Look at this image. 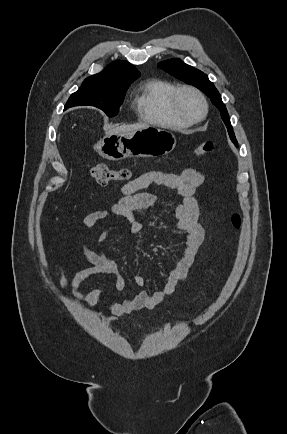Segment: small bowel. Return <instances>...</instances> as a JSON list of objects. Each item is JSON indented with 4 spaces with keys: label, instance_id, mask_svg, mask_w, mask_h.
I'll list each match as a JSON object with an SVG mask.
<instances>
[{
    "label": "small bowel",
    "instance_id": "small-bowel-1",
    "mask_svg": "<svg viewBox=\"0 0 287 434\" xmlns=\"http://www.w3.org/2000/svg\"><path fill=\"white\" fill-rule=\"evenodd\" d=\"M203 182V174L193 168H186L180 174L149 171L124 184L121 188L123 197L113 206L89 212L83 217L82 224L87 228H91L109 215L122 216L128 220L125 232L129 235H136L142 231L144 224L134 217V211L152 210L161 215L172 217L175 220L174 228L182 234V241L177 249L174 267L166 278L163 290L152 293L140 291L121 302H109L107 308L111 316L104 318L105 323H114L117 321V317L122 315L156 308L167 297L171 296L183 281L204 241L205 231L198 222L199 207L195 197L198 187ZM152 184L177 190L183 197L182 202L163 206L155 195L140 193L142 189ZM115 230L116 228H112L104 232L101 235L100 242L104 243L108 240ZM80 252L86 263L75 261L78 271L71 281L66 278L61 267L57 266L61 286L69 288L74 298L82 302L87 308L93 307L105 298V294L101 290L83 293L79 289L84 279L99 275L111 276L117 290L125 288V279L115 259L104 252L95 253L85 246L80 247ZM133 282L136 286L141 287L145 284V279L142 275L136 274L133 276Z\"/></svg>",
    "mask_w": 287,
    "mask_h": 434
}]
</instances>
